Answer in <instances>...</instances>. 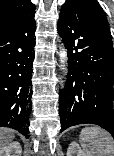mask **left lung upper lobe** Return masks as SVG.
<instances>
[{
	"mask_svg": "<svg viewBox=\"0 0 114 156\" xmlns=\"http://www.w3.org/2000/svg\"><path fill=\"white\" fill-rule=\"evenodd\" d=\"M67 2L86 7L90 11L94 12L98 17H101L106 23H108L103 9L96 0H68Z\"/></svg>",
	"mask_w": 114,
	"mask_h": 156,
	"instance_id": "5c2ea615",
	"label": "left lung upper lobe"
}]
</instances>
